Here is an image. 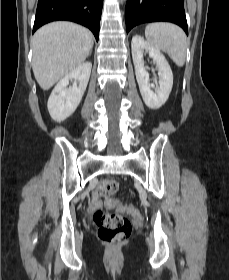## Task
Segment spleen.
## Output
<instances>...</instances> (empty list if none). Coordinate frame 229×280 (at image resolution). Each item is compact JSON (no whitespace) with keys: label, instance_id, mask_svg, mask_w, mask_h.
Listing matches in <instances>:
<instances>
[{"label":"spleen","instance_id":"obj_1","mask_svg":"<svg viewBox=\"0 0 229 280\" xmlns=\"http://www.w3.org/2000/svg\"><path fill=\"white\" fill-rule=\"evenodd\" d=\"M148 44L166 52L177 66H183L186 59L187 41L184 31L172 23L155 22L145 28Z\"/></svg>","mask_w":229,"mask_h":280}]
</instances>
